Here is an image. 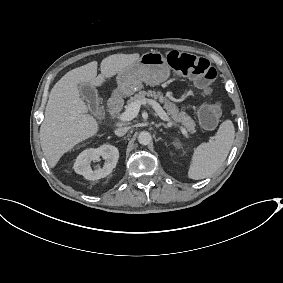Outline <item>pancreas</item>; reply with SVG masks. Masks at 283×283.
Wrapping results in <instances>:
<instances>
[{
    "label": "pancreas",
    "mask_w": 283,
    "mask_h": 283,
    "mask_svg": "<svg viewBox=\"0 0 283 283\" xmlns=\"http://www.w3.org/2000/svg\"><path fill=\"white\" fill-rule=\"evenodd\" d=\"M146 97H153L154 100H159L160 103H163L164 109L167 110V115L171 117L174 121L182 123V125L185 126V128L190 134H194L197 131L194 120L184 111L179 110L176 104L171 101L170 98L165 96L161 91H140L139 93L135 94L134 97H131L128 104L130 105L132 103H143ZM118 100L119 103L116 108L113 109L114 112L121 110L123 107L124 100L122 98H119ZM149 103L152 105L153 101H150Z\"/></svg>",
    "instance_id": "obj_1"
}]
</instances>
